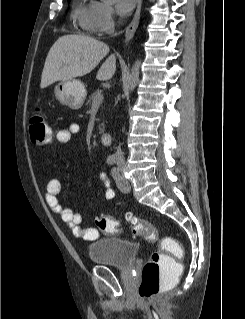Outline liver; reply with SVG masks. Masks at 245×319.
<instances>
[{"label": "liver", "instance_id": "6515ba94", "mask_svg": "<svg viewBox=\"0 0 245 319\" xmlns=\"http://www.w3.org/2000/svg\"><path fill=\"white\" fill-rule=\"evenodd\" d=\"M108 53L107 44L89 36L70 34L59 37L48 52L40 88L90 73ZM115 71L116 57L111 54L101 65L97 79L108 80Z\"/></svg>", "mask_w": 245, "mask_h": 319}]
</instances>
